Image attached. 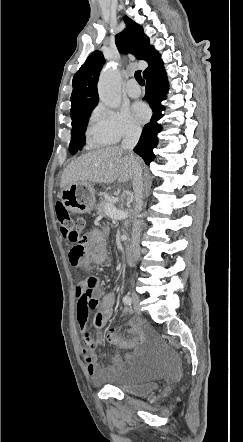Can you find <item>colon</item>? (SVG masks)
Masks as SVG:
<instances>
[{
    "label": "colon",
    "instance_id": "5ec220e1",
    "mask_svg": "<svg viewBox=\"0 0 243 442\" xmlns=\"http://www.w3.org/2000/svg\"><path fill=\"white\" fill-rule=\"evenodd\" d=\"M55 212L64 238L73 244L69 251V260L73 263H79L85 257V242L81 236V231L85 225L84 220L81 218L74 219L66 205L62 202L56 203Z\"/></svg>",
    "mask_w": 243,
    "mask_h": 442
}]
</instances>
